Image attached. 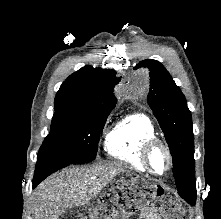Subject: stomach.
I'll list each match as a JSON object with an SVG mask.
<instances>
[{"instance_id": "1", "label": "stomach", "mask_w": 221, "mask_h": 219, "mask_svg": "<svg viewBox=\"0 0 221 219\" xmlns=\"http://www.w3.org/2000/svg\"><path fill=\"white\" fill-rule=\"evenodd\" d=\"M153 187L156 190H152V194H150V199H168L169 190H161L157 185Z\"/></svg>"}]
</instances>
